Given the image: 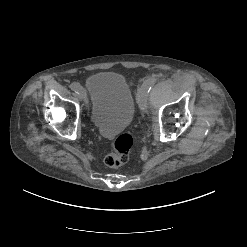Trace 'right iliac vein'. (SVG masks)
Masks as SVG:
<instances>
[{
    "label": "right iliac vein",
    "mask_w": 247,
    "mask_h": 247,
    "mask_svg": "<svg viewBox=\"0 0 247 247\" xmlns=\"http://www.w3.org/2000/svg\"><path fill=\"white\" fill-rule=\"evenodd\" d=\"M77 97L81 100V101H85V103L87 104L86 101V94L85 92L82 90L81 92L77 93Z\"/></svg>",
    "instance_id": "63e3f726"
}]
</instances>
